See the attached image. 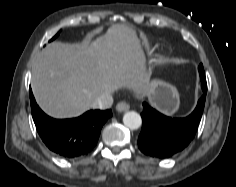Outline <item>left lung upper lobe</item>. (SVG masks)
<instances>
[{"instance_id": "5c2ea615", "label": "left lung upper lobe", "mask_w": 236, "mask_h": 187, "mask_svg": "<svg viewBox=\"0 0 236 187\" xmlns=\"http://www.w3.org/2000/svg\"><path fill=\"white\" fill-rule=\"evenodd\" d=\"M198 70H199V73H200L201 83L203 84V86H205L207 88L205 72H204V68H203L202 64L199 65ZM202 73L204 74L203 76L201 75Z\"/></svg>"}]
</instances>
